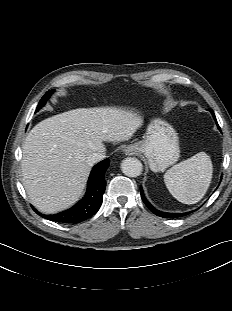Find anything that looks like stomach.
I'll return each mask as SVG.
<instances>
[{
  "label": "stomach",
  "instance_id": "0dacf381",
  "mask_svg": "<svg viewBox=\"0 0 232 311\" xmlns=\"http://www.w3.org/2000/svg\"><path fill=\"white\" fill-rule=\"evenodd\" d=\"M128 147L144 154L153 172H163L176 163L180 156L178 134L169 123L160 118L150 122L142 141Z\"/></svg>",
  "mask_w": 232,
  "mask_h": 311
}]
</instances>
